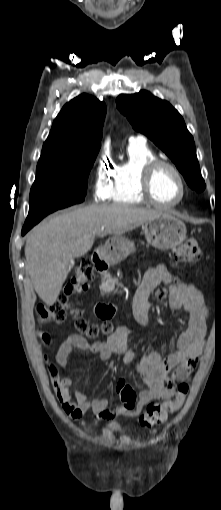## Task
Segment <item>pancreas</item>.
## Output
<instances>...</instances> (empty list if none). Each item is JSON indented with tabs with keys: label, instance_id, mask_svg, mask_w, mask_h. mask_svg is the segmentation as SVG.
<instances>
[{
	"label": "pancreas",
	"instance_id": "1",
	"mask_svg": "<svg viewBox=\"0 0 221 510\" xmlns=\"http://www.w3.org/2000/svg\"><path fill=\"white\" fill-rule=\"evenodd\" d=\"M118 279L115 277H112L111 275H104L102 277V284L100 286V289L102 292L108 293L112 291L115 288V284L117 283Z\"/></svg>",
	"mask_w": 221,
	"mask_h": 510
}]
</instances>
